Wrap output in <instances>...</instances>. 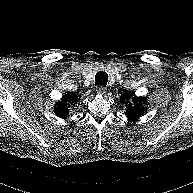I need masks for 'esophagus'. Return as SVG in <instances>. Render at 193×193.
<instances>
[{
	"mask_svg": "<svg viewBox=\"0 0 193 193\" xmlns=\"http://www.w3.org/2000/svg\"><path fill=\"white\" fill-rule=\"evenodd\" d=\"M96 91H97L98 94L103 95V94L106 93L107 89H106V87H104V86H98V87L96 88Z\"/></svg>",
	"mask_w": 193,
	"mask_h": 193,
	"instance_id": "obj_1",
	"label": "esophagus"
}]
</instances>
